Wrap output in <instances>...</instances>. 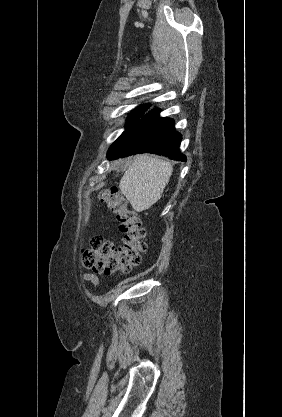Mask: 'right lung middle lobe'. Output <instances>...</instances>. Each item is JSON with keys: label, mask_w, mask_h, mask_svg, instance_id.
<instances>
[{"label": "right lung middle lobe", "mask_w": 282, "mask_h": 417, "mask_svg": "<svg viewBox=\"0 0 282 417\" xmlns=\"http://www.w3.org/2000/svg\"><path fill=\"white\" fill-rule=\"evenodd\" d=\"M145 107L144 106H142V107H139L137 110H135L130 116H129V118H128V121H127V127L129 126V125H131L132 123H134L136 120H138L140 117H141V115H142V112H143V109H144Z\"/></svg>", "instance_id": "obj_1"}]
</instances>
